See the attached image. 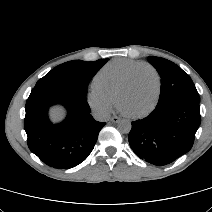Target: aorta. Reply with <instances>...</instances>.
Instances as JSON below:
<instances>
[{"label": "aorta", "instance_id": "obj_1", "mask_svg": "<svg viewBox=\"0 0 212 212\" xmlns=\"http://www.w3.org/2000/svg\"><path fill=\"white\" fill-rule=\"evenodd\" d=\"M132 128L131 122L129 120H121L118 123V130L121 133H129Z\"/></svg>", "mask_w": 212, "mask_h": 212}]
</instances>
